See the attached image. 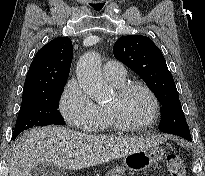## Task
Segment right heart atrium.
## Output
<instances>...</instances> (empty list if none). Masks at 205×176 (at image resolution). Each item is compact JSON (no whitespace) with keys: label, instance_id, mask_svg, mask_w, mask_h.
<instances>
[{"label":"right heart atrium","instance_id":"1","mask_svg":"<svg viewBox=\"0 0 205 176\" xmlns=\"http://www.w3.org/2000/svg\"><path fill=\"white\" fill-rule=\"evenodd\" d=\"M59 110L66 122L82 131L91 129L99 118V107L76 79H71L65 85L59 100Z\"/></svg>","mask_w":205,"mask_h":176}]
</instances>
